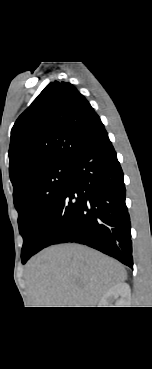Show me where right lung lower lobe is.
<instances>
[{"label": "right lung lower lobe", "mask_w": 152, "mask_h": 369, "mask_svg": "<svg viewBox=\"0 0 152 369\" xmlns=\"http://www.w3.org/2000/svg\"><path fill=\"white\" fill-rule=\"evenodd\" d=\"M125 192L122 169L104 131L69 162L65 187L35 253L53 244L76 242L133 268Z\"/></svg>", "instance_id": "right-lung-lower-lobe-1"}]
</instances>
